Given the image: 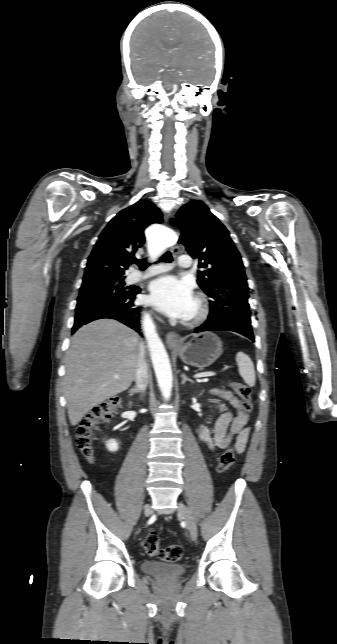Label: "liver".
I'll use <instances>...</instances> for the list:
<instances>
[{
    "instance_id": "1",
    "label": "liver",
    "mask_w": 337,
    "mask_h": 644,
    "mask_svg": "<svg viewBox=\"0 0 337 644\" xmlns=\"http://www.w3.org/2000/svg\"><path fill=\"white\" fill-rule=\"evenodd\" d=\"M142 345L135 331L112 319L93 321L73 335L64 377L72 426L93 407L130 387Z\"/></svg>"
}]
</instances>
